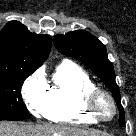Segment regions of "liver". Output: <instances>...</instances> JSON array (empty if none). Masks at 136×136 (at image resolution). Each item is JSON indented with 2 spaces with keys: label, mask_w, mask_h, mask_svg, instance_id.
Returning <instances> with one entry per match:
<instances>
[{
  "label": "liver",
  "mask_w": 136,
  "mask_h": 136,
  "mask_svg": "<svg viewBox=\"0 0 136 136\" xmlns=\"http://www.w3.org/2000/svg\"><path fill=\"white\" fill-rule=\"evenodd\" d=\"M0 136H107L95 129H79L75 127L37 124L18 125L14 122L0 123Z\"/></svg>",
  "instance_id": "liver-1"
}]
</instances>
